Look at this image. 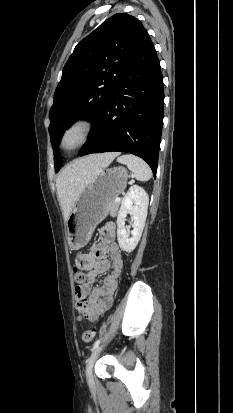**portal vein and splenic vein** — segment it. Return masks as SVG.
Masks as SVG:
<instances>
[{
  "mask_svg": "<svg viewBox=\"0 0 233 413\" xmlns=\"http://www.w3.org/2000/svg\"><path fill=\"white\" fill-rule=\"evenodd\" d=\"M120 200H121V199H120L119 197H116V198H115V202H120Z\"/></svg>",
  "mask_w": 233,
  "mask_h": 413,
  "instance_id": "obj_1",
  "label": "portal vein and splenic vein"
}]
</instances>
